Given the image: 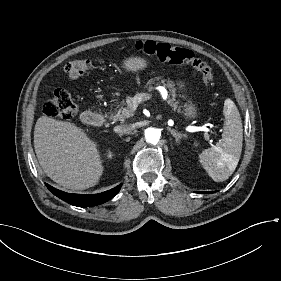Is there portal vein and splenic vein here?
Instances as JSON below:
<instances>
[{"mask_svg": "<svg viewBox=\"0 0 281 281\" xmlns=\"http://www.w3.org/2000/svg\"><path fill=\"white\" fill-rule=\"evenodd\" d=\"M158 99V96L156 94H149L145 93L143 91H139L136 95H134L131 100L129 101V106L130 107H135L139 101L142 100H149V101H156ZM132 110V109H131ZM130 110V112H131ZM130 114H128L129 116ZM203 128L206 126H202Z\"/></svg>", "mask_w": 281, "mask_h": 281, "instance_id": "18ae733b", "label": "portal vein and splenic vein"}]
</instances>
